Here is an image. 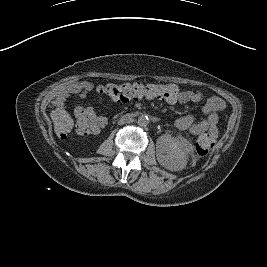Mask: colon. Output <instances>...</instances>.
Listing matches in <instances>:
<instances>
[{"mask_svg": "<svg viewBox=\"0 0 267 267\" xmlns=\"http://www.w3.org/2000/svg\"><path fill=\"white\" fill-rule=\"evenodd\" d=\"M100 93L114 101L150 97L167 102H175L180 97V89L175 85L130 83H109L99 87ZM76 120L83 122L81 113L75 114ZM53 129L57 137L66 138L74 127L71 116L64 110H57L52 115ZM77 124V121H76ZM215 137L207 132L199 134L196 152L200 157L206 156L213 147Z\"/></svg>", "mask_w": 267, "mask_h": 267, "instance_id": "colon-1", "label": "colon"}]
</instances>
